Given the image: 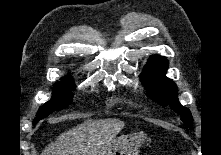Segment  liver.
I'll use <instances>...</instances> for the list:
<instances>
[{
    "label": "liver",
    "instance_id": "6515ba94",
    "mask_svg": "<svg viewBox=\"0 0 221 155\" xmlns=\"http://www.w3.org/2000/svg\"><path fill=\"white\" fill-rule=\"evenodd\" d=\"M123 127L115 118L86 120L60 134L42 155H104Z\"/></svg>",
    "mask_w": 221,
    "mask_h": 155
}]
</instances>
